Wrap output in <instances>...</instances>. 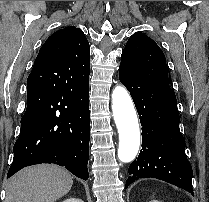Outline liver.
Listing matches in <instances>:
<instances>
[{"label": "liver", "mask_w": 209, "mask_h": 202, "mask_svg": "<svg viewBox=\"0 0 209 202\" xmlns=\"http://www.w3.org/2000/svg\"><path fill=\"white\" fill-rule=\"evenodd\" d=\"M73 185L71 174L57 165L25 168L6 185L5 202H55Z\"/></svg>", "instance_id": "1"}]
</instances>
